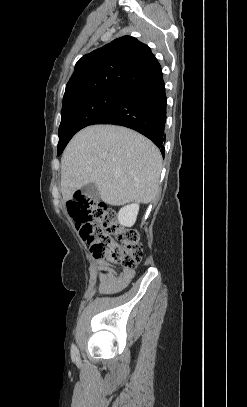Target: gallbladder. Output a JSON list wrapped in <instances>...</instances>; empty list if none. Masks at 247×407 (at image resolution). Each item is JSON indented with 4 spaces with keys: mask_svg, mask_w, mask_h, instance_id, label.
<instances>
[{
    "mask_svg": "<svg viewBox=\"0 0 247 407\" xmlns=\"http://www.w3.org/2000/svg\"><path fill=\"white\" fill-rule=\"evenodd\" d=\"M82 194L89 197L92 200H100V193L97 186L94 183H90L82 188Z\"/></svg>",
    "mask_w": 247,
    "mask_h": 407,
    "instance_id": "1",
    "label": "gallbladder"
}]
</instances>
